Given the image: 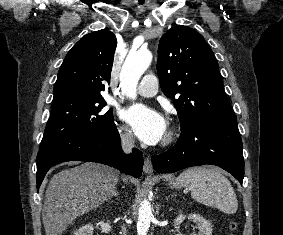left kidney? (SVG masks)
<instances>
[{
  "label": "left kidney",
  "instance_id": "obj_1",
  "mask_svg": "<svg viewBox=\"0 0 283 235\" xmlns=\"http://www.w3.org/2000/svg\"><path fill=\"white\" fill-rule=\"evenodd\" d=\"M185 218L186 215L184 214L178 215L174 220V226L179 227V225L185 220ZM188 219L196 223L199 229L198 234H193V235H212L211 225L205 218H203V216L194 213V214H189ZM176 235H182V234H176Z\"/></svg>",
  "mask_w": 283,
  "mask_h": 235
}]
</instances>
